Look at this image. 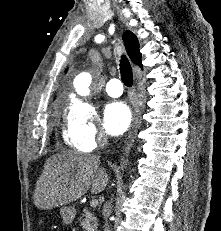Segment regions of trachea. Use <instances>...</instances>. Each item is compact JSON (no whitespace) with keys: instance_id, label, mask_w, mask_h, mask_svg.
<instances>
[{"instance_id":"obj_1","label":"trachea","mask_w":221,"mask_h":231,"mask_svg":"<svg viewBox=\"0 0 221 231\" xmlns=\"http://www.w3.org/2000/svg\"><path fill=\"white\" fill-rule=\"evenodd\" d=\"M120 73H121L122 82L127 87H131L133 84L132 68L125 55H122V58L120 61Z\"/></svg>"}]
</instances>
